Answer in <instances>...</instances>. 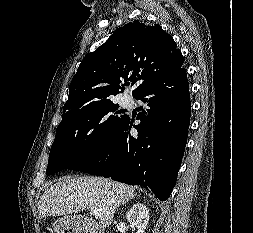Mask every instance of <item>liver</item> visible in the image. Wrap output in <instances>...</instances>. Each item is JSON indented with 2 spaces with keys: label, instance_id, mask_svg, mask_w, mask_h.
Listing matches in <instances>:
<instances>
[{
  "label": "liver",
  "instance_id": "liver-1",
  "mask_svg": "<svg viewBox=\"0 0 253 233\" xmlns=\"http://www.w3.org/2000/svg\"><path fill=\"white\" fill-rule=\"evenodd\" d=\"M134 197L133 187L111 179L64 177L44 191L39 200V218L75 214L95 207L99 210L95 228L101 231L111 225L120 204Z\"/></svg>",
  "mask_w": 253,
  "mask_h": 233
}]
</instances>
